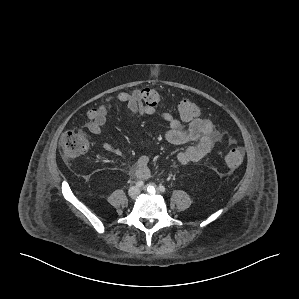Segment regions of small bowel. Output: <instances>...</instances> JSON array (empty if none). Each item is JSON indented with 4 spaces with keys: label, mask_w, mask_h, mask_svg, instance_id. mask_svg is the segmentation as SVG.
Instances as JSON below:
<instances>
[{
    "label": "small bowel",
    "mask_w": 299,
    "mask_h": 299,
    "mask_svg": "<svg viewBox=\"0 0 299 299\" xmlns=\"http://www.w3.org/2000/svg\"><path fill=\"white\" fill-rule=\"evenodd\" d=\"M120 102L127 106L129 113L139 118L144 115H158L168 124L165 134L166 140L175 145H188L176 156L178 163L186 165L200 161L211 152L221 135L215 130L212 121L206 117H197L185 124L175 118L171 113L159 111L157 106L147 105L140 94V89L128 92H119L115 96L106 97L97 108L95 118L88 124V129L93 134H99L106 123L107 116L114 103ZM103 149L107 152L119 155L120 150L109 142L103 143ZM134 175L139 179H147L150 174L149 158H138L133 169Z\"/></svg>",
    "instance_id": "1"
}]
</instances>
